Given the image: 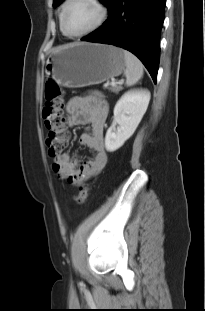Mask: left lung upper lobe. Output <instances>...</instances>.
<instances>
[{"label": "left lung upper lobe", "mask_w": 205, "mask_h": 311, "mask_svg": "<svg viewBox=\"0 0 205 311\" xmlns=\"http://www.w3.org/2000/svg\"><path fill=\"white\" fill-rule=\"evenodd\" d=\"M63 0H53V7L58 6ZM102 1L110 10L111 6L113 5L114 0H100Z\"/></svg>", "instance_id": "1"}]
</instances>
